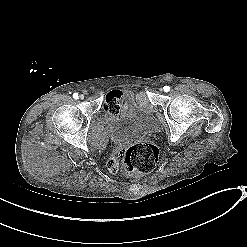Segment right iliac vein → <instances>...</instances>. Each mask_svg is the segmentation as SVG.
<instances>
[{
  "instance_id": "1",
  "label": "right iliac vein",
  "mask_w": 247,
  "mask_h": 247,
  "mask_svg": "<svg viewBox=\"0 0 247 247\" xmlns=\"http://www.w3.org/2000/svg\"><path fill=\"white\" fill-rule=\"evenodd\" d=\"M80 98H81V99H84V96H83V95H80Z\"/></svg>"
}]
</instances>
